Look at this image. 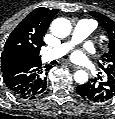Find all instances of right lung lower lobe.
<instances>
[{"instance_id":"98d812e1","label":"right lung lower lobe","mask_w":115,"mask_h":119,"mask_svg":"<svg viewBox=\"0 0 115 119\" xmlns=\"http://www.w3.org/2000/svg\"><path fill=\"white\" fill-rule=\"evenodd\" d=\"M48 69L49 66H46ZM46 74L39 61L5 70L3 79L15 94L35 98L46 90Z\"/></svg>"}]
</instances>
